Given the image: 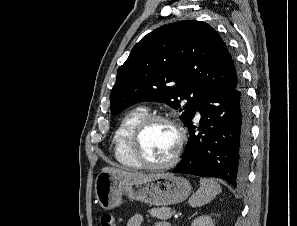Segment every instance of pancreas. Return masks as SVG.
<instances>
[{
  "label": "pancreas",
  "instance_id": "pancreas-1",
  "mask_svg": "<svg viewBox=\"0 0 297 226\" xmlns=\"http://www.w3.org/2000/svg\"><path fill=\"white\" fill-rule=\"evenodd\" d=\"M148 212L150 213L151 217L160 220L170 219L173 215L170 208L167 207L152 208Z\"/></svg>",
  "mask_w": 297,
  "mask_h": 226
}]
</instances>
